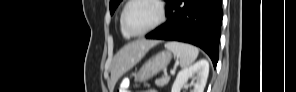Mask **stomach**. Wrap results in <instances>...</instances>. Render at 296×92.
Returning a JSON list of instances; mask_svg holds the SVG:
<instances>
[{"label": "stomach", "instance_id": "1", "mask_svg": "<svg viewBox=\"0 0 296 92\" xmlns=\"http://www.w3.org/2000/svg\"><path fill=\"white\" fill-rule=\"evenodd\" d=\"M172 59L169 51H161L146 61L135 75V81L143 82L165 69Z\"/></svg>", "mask_w": 296, "mask_h": 92}]
</instances>
